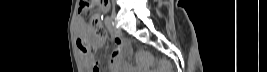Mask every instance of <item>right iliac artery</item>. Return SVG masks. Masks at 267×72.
Wrapping results in <instances>:
<instances>
[{
    "label": "right iliac artery",
    "instance_id": "1",
    "mask_svg": "<svg viewBox=\"0 0 267 72\" xmlns=\"http://www.w3.org/2000/svg\"><path fill=\"white\" fill-rule=\"evenodd\" d=\"M105 25H106V27L110 31H113V29H114V23H113V21H112V19L110 17H106V19H105Z\"/></svg>",
    "mask_w": 267,
    "mask_h": 72
}]
</instances>
